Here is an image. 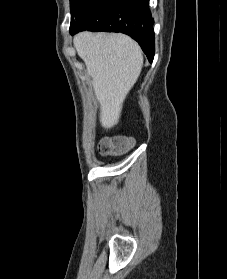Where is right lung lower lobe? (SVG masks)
I'll list each match as a JSON object with an SVG mask.
<instances>
[{"instance_id":"1","label":"right lung lower lobe","mask_w":227,"mask_h":279,"mask_svg":"<svg viewBox=\"0 0 227 279\" xmlns=\"http://www.w3.org/2000/svg\"><path fill=\"white\" fill-rule=\"evenodd\" d=\"M148 4L149 0H89L70 26V33L83 30L125 33L139 43L152 62L154 20Z\"/></svg>"}]
</instances>
